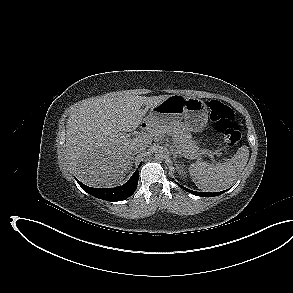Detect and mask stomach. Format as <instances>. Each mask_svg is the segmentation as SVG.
<instances>
[{
  "instance_id": "0dacf381",
  "label": "stomach",
  "mask_w": 293,
  "mask_h": 293,
  "mask_svg": "<svg viewBox=\"0 0 293 293\" xmlns=\"http://www.w3.org/2000/svg\"><path fill=\"white\" fill-rule=\"evenodd\" d=\"M208 113V107L201 99L175 94L152 107L146 121L151 126H158L184 119L189 131L201 132L207 125Z\"/></svg>"
}]
</instances>
